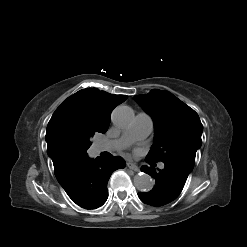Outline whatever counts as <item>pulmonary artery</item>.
<instances>
[{
	"label": "pulmonary artery",
	"instance_id": "1",
	"mask_svg": "<svg viewBox=\"0 0 247 247\" xmlns=\"http://www.w3.org/2000/svg\"><path fill=\"white\" fill-rule=\"evenodd\" d=\"M153 129V120L151 116L145 112L136 115L133 124L117 139L105 142L99 146L100 151H117L121 150L135 141L145 139ZM160 169L164 168V164L159 165Z\"/></svg>",
	"mask_w": 247,
	"mask_h": 247
}]
</instances>
